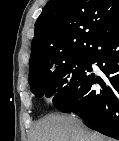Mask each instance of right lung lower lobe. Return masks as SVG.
I'll list each match as a JSON object with an SVG mask.
<instances>
[{"mask_svg":"<svg viewBox=\"0 0 119 141\" xmlns=\"http://www.w3.org/2000/svg\"><path fill=\"white\" fill-rule=\"evenodd\" d=\"M89 68L70 99L57 108L75 112L91 129L119 140V19L111 22L92 46ZM97 63L103 77L91 72ZM99 84L97 88L93 85Z\"/></svg>","mask_w":119,"mask_h":141,"instance_id":"1","label":"right lung lower lobe"}]
</instances>
